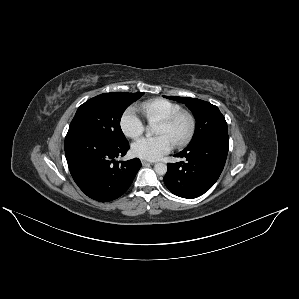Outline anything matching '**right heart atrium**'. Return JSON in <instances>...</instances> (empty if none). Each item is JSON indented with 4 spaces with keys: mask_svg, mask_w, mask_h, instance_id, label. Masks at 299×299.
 <instances>
[{
    "mask_svg": "<svg viewBox=\"0 0 299 299\" xmlns=\"http://www.w3.org/2000/svg\"><path fill=\"white\" fill-rule=\"evenodd\" d=\"M120 124L124 134L133 139L145 130L143 118L136 107H130L124 112Z\"/></svg>",
    "mask_w": 299,
    "mask_h": 299,
    "instance_id": "obj_1",
    "label": "right heart atrium"
}]
</instances>
